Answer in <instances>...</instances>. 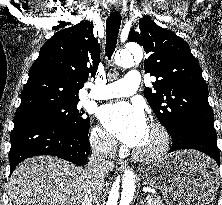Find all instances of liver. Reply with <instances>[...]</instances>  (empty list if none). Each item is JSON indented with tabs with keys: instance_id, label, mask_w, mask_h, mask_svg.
I'll list each match as a JSON object with an SVG mask.
<instances>
[{
	"instance_id": "6515ba94",
	"label": "liver",
	"mask_w": 222,
	"mask_h": 205,
	"mask_svg": "<svg viewBox=\"0 0 222 205\" xmlns=\"http://www.w3.org/2000/svg\"><path fill=\"white\" fill-rule=\"evenodd\" d=\"M96 190L97 202L104 187ZM89 178L86 170L53 156L24 160L8 181L9 205H82Z\"/></svg>"
}]
</instances>
